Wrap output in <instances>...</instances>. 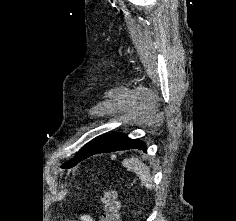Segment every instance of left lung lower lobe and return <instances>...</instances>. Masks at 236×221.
Instances as JSON below:
<instances>
[{"label": "left lung lower lobe", "instance_id": "obj_1", "mask_svg": "<svg viewBox=\"0 0 236 221\" xmlns=\"http://www.w3.org/2000/svg\"><path fill=\"white\" fill-rule=\"evenodd\" d=\"M147 149L143 141L130 139L125 135L106 134L87 143L78 153L77 163L97 153L113 152L127 149Z\"/></svg>", "mask_w": 236, "mask_h": 221}]
</instances>
